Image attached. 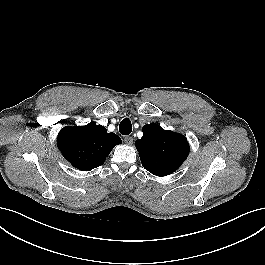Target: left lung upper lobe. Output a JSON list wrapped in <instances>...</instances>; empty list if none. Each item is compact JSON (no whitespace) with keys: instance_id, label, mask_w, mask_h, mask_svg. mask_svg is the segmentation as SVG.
<instances>
[{"instance_id":"5c2ea615","label":"left lung upper lobe","mask_w":265,"mask_h":265,"mask_svg":"<svg viewBox=\"0 0 265 265\" xmlns=\"http://www.w3.org/2000/svg\"><path fill=\"white\" fill-rule=\"evenodd\" d=\"M143 137L135 142L143 167L156 176L176 171L186 160L190 147L185 136L164 130L156 123L146 124Z\"/></svg>"}]
</instances>
